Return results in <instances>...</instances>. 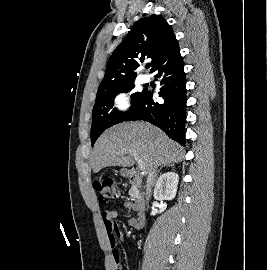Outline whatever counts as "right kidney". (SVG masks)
Listing matches in <instances>:
<instances>
[{
	"label": "right kidney",
	"instance_id": "1",
	"mask_svg": "<svg viewBox=\"0 0 267 270\" xmlns=\"http://www.w3.org/2000/svg\"><path fill=\"white\" fill-rule=\"evenodd\" d=\"M179 176L175 172H167L160 176L154 188V198L159 201L172 200L177 191Z\"/></svg>",
	"mask_w": 267,
	"mask_h": 270
}]
</instances>
